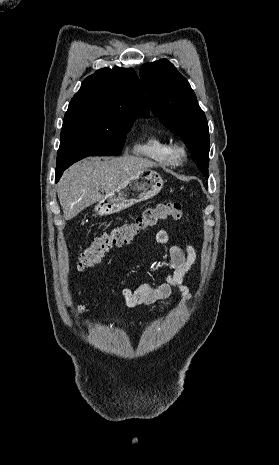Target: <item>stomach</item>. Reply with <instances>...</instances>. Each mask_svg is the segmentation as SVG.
I'll use <instances>...</instances> for the list:
<instances>
[{
  "instance_id": "1",
  "label": "stomach",
  "mask_w": 279,
  "mask_h": 465,
  "mask_svg": "<svg viewBox=\"0 0 279 465\" xmlns=\"http://www.w3.org/2000/svg\"><path fill=\"white\" fill-rule=\"evenodd\" d=\"M164 185L162 177L155 171L143 170L106 194L95 206L94 211L106 216L125 210L134 204L157 195Z\"/></svg>"
}]
</instances>
